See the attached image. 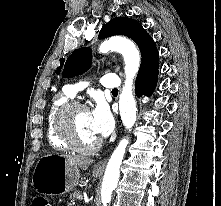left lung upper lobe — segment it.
<instances>
[{"mask_svg": "<svg viewBox=\"0 0 221 206\" xmlns=\"http://www.w3.org/2000/svg\"><path fill=\"white\" fill-rule=\"evenodd\" d=\"M112 35H124L131 38L141 51V66L137 79L158 71V51L150 35L143 29L142 25L130 18L116 17L105 24L99 38H105ZM60 66L56 69L59 74L62 70L63 77H73L87 71L91 66V49L83 47L73 51L65 59H60ZM136 79V80H137Z\"/></svg>", "mask_w": 221, "mask_h": 206, "instance_id": "5c2ea615", "label": "left lung upper lobe"}]
</instances>
